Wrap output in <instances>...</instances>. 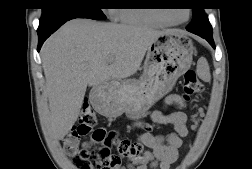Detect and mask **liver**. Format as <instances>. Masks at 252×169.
Returning <instances> with one entry per match:
<instances>
[{
    "label": "liver",
    "mask_w": 252,
    "mask_h": 169,
    "mask_svg": "<svg viewBox=\"0 0 252 169\" xmlns=\"http://www.w3.org/2000/svg\"><path fill=\"white\" fill-rule=\"evenodd\" d=\"M144 26L73 19L41 49L49 101V132L62 139L80 113L87 86L137 72L149 46L163 33Z\"/></svg>",
    "instance_id": "6515ba94"
}]
</instances>
